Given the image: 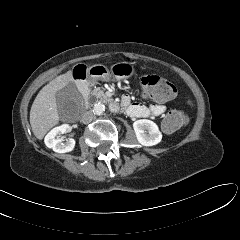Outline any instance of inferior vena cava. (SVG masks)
Instances as JSON below:
<instances>
[{
    "label": "inferior vena cava",
    "instance_id": "602c4592",
    "mask_svg": "<svg viewBox=\"0 0 240 240\" xmlns=\"http://www.w3.org/2000/svg\"><path fill=\"white\" fill-rule=\"evenodd\" d=\"M94 117H95V115H94V113L91 110L90 111H86L83 114L81 121L84 124H88V123H90L94 119Z\"/></svg>",
    "mask_w": 240,
    "mask_h": 240
}]
</instances>
